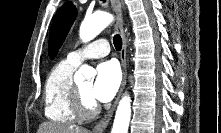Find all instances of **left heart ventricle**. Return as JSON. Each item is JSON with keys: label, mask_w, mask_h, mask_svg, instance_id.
Listing matches in <instances>:
<instances>
[{"label": "left heart ventricle", "mask_w": 221, "mask_h": 133, "mask_svg": "<svg viewBox=\"0 0 221 133\" xmlns=\"http://www.w3.org/2000/svg\"><path fill=\"white\" fill-rule=\"evenodd\" d=\"M78 86L81 89L85 98L88 100H92L91 95H90L92 83H90V82L81 83V84H78Z\"/></svg>", "instance_id": "1"}]
</instances>
